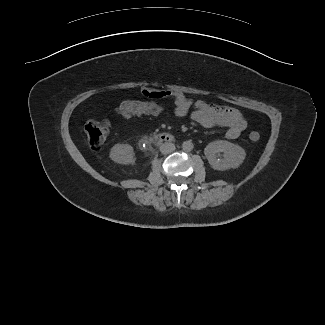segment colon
Wrapping results in <instances>:
<instances>
[{"label": "colon", "mask_w": 325, "mask_h": 325, "mask_svg": "<svg viewBox=\"0 0 325 325\" xmlns=\"http://www.w3.org/2000/svg\"><path fill=\"white\" fill-rule=\"evenodd\" d=\"M117 112L129 118L134 115L146 116H162L175 114V108L157 101H126L119 105ZM111 131V124L107 120H89L84 126V134L86 136L89 147L93 151H99L104 147L106 139ZM249 138L252 142L260 140V134L256 131L250 133Z\"/></svg>", "instance_id": "obj_1"}]
</instances>
